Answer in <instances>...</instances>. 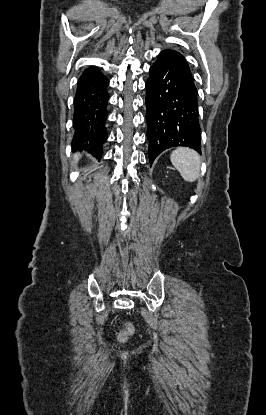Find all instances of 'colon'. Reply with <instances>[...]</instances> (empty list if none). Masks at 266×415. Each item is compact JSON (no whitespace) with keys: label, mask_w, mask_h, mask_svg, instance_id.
<instances>
[{"label":"colon","mask_w":266,"mask_h":415,"mask_svg":"<svg viewBox=\"0 0 266 415\" xmlns=\"http://www.w3.org/2000/svg\"><path fill=\"white\" fill-rule=\"evenodd\" d=\"M134 333V327L130 323H126L123 329L118 334L120 342H126Z\"/></svg>","instance_id":"obj_1"}]
</instances>
